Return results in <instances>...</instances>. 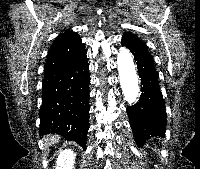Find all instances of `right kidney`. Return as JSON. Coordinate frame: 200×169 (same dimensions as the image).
Returning <instances> with one entry per match:
<instances>
[{
	"instance_id": "right-kidney-1",
	"label": "right kidney",
	"mask_w": 200,
	"mask_h": 169,
	"mask_svg": "<svg viewBox=\"0 0 200 169\" xmlns=\"http://www.w3.org/2000/svg\"><path fill=\"white\" fill-rule=\"evenodd\" d=\"M76 154L71 149L62 150L56 161L55 169H73Z\"/></svg>"
}]
</instances>
